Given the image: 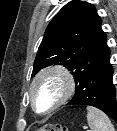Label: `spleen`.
<instances>
[{"label":"spleen","mask_w":117,"mask_h":131,"mask_svg":"<svg viewBox=\"0 0 117 131\" xmlns=\"http://www.w3.org/2000/svg\"><path fill=\"white\" fill-rule=\"evenodd\" d=\"M87 122L92 131H115L109 117L91 106L87 107Z\"/></svg>","instance_id":"1"}]
</instances>
